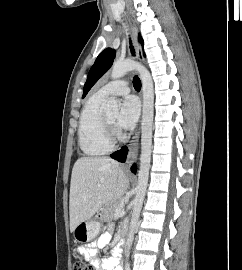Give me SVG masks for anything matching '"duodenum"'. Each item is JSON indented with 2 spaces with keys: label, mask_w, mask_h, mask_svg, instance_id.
Segmentation results:
<instances>
[{
  "label": "duodenum",
  "mask_w": 242,
  "mask_h": 270,
  "mask_svg": "<svg viewBox=\"0 0 242 270\" xmlns=\"http://www.w3.org/2000/svg\"><path fill=\"white\" fill-rule=\"evenodd\" d=\"M127 228H124L122 233H121V240L124 241L126 239V236H127Z\"/></svg>",
  "instance_id": "obj_1"
}]
</instances>
